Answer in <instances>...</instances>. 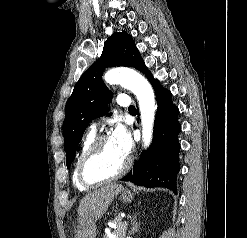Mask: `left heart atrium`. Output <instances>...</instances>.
<instances>
[{
  "instance_id": "1",
  "label": "left heart atrium",
  "mask_w": 247,
  "mask_h": 238,
  "mask_svg": "<svg viewBox=\"0 0 247 238\" xmlns=\"http://www.w3.org/2000/svg\"><path fill=\"white\" fill-rule=\"evenodd\" d=\"M110 139L124 156H127L130 153L132 140L129 132L123 125H118L114 129Z\"/></svg>"
}]
</instances>
